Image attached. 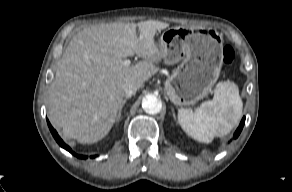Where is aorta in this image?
<instances>
[{
	"label": "aorta",
	"mask_w": 292,
	"mask_h": 192,
	"mask_svg": "<svg viewBox=\"0 0 292 192\" xmlns=\"http://www.w3.org/2000/svg\"><path fill=\"white\" fill-rule=\"evenodd\" d=\"M142 107L148 114H157L160 112L162 105L155 95L148 94L142 99Z\"/></svg>",
	"instance_id": "762f6f07"
}]
</instances>
